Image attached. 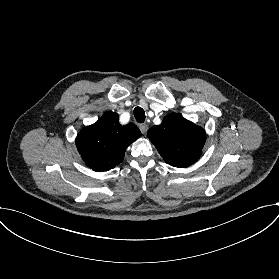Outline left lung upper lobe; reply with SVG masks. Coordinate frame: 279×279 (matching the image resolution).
<instances>
[{
  "instance_id": "1",
  "label": "left lung upper lobe",
  "mask_w": 279,
  "mask_h": 279,
  "mask_svg": "<svg viewBox=\"0 0 279 279\" xmlns=\"http://www.w3.org/2000/svg\"><path fill=\"white\" fill-rule=\"evenodd\" d=\"M148 138L166 163L181 168L192 165L201 156L206 134L201 127L171 113L160 125L149 129Z\"/></svg>"
}]
</instances>
